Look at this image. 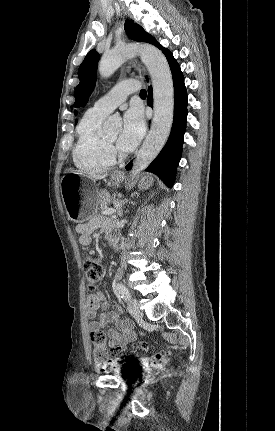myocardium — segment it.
Returning a JSON list of instances; mask_svg holds the SVG:
<instances>
[{
	"label": "myocardium",
	"mask_w": 275,
	"mask_h": 431,
	"mask_svg": "<svg viewBox=\"0 0 275 431\" xmlns=\"http://www.w3.org/2000/svg\"><path fill=\"white\" fill-rule=\"evenodd\" d=\"M105 142L107 145L108 153L114 161L124 159V154L115 146L114 143L110 142L106 137Z\"/></svg>",
	"instance_id": "myocardium-1"
}]
</instances>
